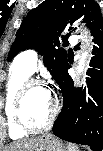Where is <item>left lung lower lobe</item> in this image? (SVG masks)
<instances>
[{
  "label": "left lung lower lobe",
  "instance_id": "obj_1",
  "mask_svg": "<svg viewBox=\"0 0 103 151\" xmlns=\"http://www.w3.org/2000/svg\"><path fill=\"white\" fill-rule=\"evenodd\" d=\"M95 46L87 72V85L75 89L68 74V61L55 78L64 99L53 133L59 138L88 145L94 151L103 148V30H91ZM70 61V60H69Z\"/></svg>",
  "mask_w": 103,
  "mask_h": 151
}]
</instances>
